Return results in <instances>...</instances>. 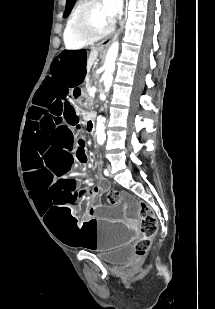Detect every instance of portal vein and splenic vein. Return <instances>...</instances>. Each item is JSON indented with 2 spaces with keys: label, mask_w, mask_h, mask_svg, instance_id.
<instances>
[{
  "label": "portal vein and splenic vein",
  "mask_w": 215,
  "mask_h": 309,
  "mask_svg": "<svg viewBox=\"0 0 215 309\" xmlns=\"http://www.w3.org/2000/svg\"><path fill=\"white\" fill-rule=\"evenodd\" d=\"M96 90H97L96 86H92V88H90L89 94H95Z\"/></svg>",
  "instance_id": "obj_1"
}]
</instances>
